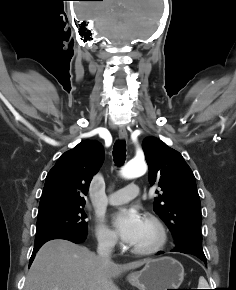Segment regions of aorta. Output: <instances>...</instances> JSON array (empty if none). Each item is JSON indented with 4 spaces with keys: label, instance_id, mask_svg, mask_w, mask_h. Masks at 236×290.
<instances>
[{
    "label": "aorta",
    "instance_id": "1",
    "mask_svg": "<svg viewBox=\"0 0 236 290\" xmlns=\"http://www.w3.org/2000/svg\"><path fill=\"white\" fill-rule=\"evenodd\" d=\"M147 166L143 160L133 159L129 161L120 171V175L125 179H134L146 173Z\"/></svg>",
    "mask_w": 236,
    "mask_h": 290
}]
</instances>
